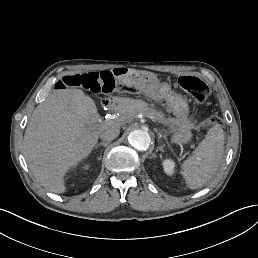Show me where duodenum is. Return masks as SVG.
I'll list each match as a JSON object with an SVG mask.
<instances>
[{"label": "duodenum", "instance_id": "410a0bca", "mask_svg": "<svg viewBox=\"0 0 258 258\" xmlns=\"http://www.w3.org/2000/svg\"><path fill=\"white\" fill-rule=\"evenodd\" d=\"M112 75L118 81L128 82L133 80L138 75V73L135 69L130 67L119 66L112 70Z\"/></svg>", "mask_w": 258, "mask_h": 258}]
</instances>
